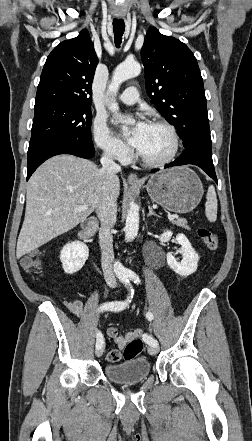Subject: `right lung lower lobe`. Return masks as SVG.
<instances>
[{"instance_id":"obj_1","label":"right lung lower lobe","mask_w":252,"mask_h":441,"mask_svg":"<svg viewBox=\"0 0 252 441\" xmlns=\"http://www.w3.org/2000/svg\"><path fill=\"white\" fill-rule=\"evenodd\" d=\"M59 154H72L82 158H92L95 149L92 141L61 138L40 142L28 149L27 180L45 160Z\"/></svg>"}]
</instances>
